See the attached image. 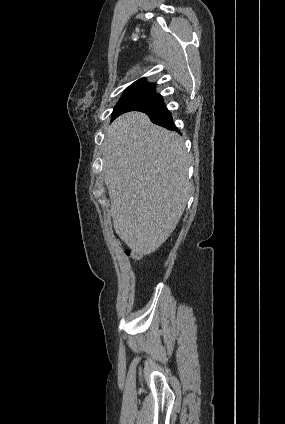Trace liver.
I'll use <instances>...</instances> for the list:
<instances>
[{
	"mask_svg": "<svg viewBox=\"0 0 285 424\" xmlns=\"http://www.w3.org/2000/svg\"><path fill=\"white\" fill-rule=\"evenodd\" d=\"M102 150L114 230L134 252L151 254L174 231L189 198L184 140L129 112L109 126Z\"/></svg>",
	"mask_w": 285,
	"mask_h": 424,
	"instance_id": "6515ba94",
	"label": "liver"
}]
</instances>
